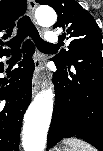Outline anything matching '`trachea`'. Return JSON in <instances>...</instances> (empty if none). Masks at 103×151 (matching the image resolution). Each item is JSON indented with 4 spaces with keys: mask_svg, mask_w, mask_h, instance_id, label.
Masks as SVG:
<instances>
[{
    "mask_svg": "<svg viewBox=\"0 0 103 151\" xmlns=\"http://www.w3.org/2000/svg\"><path fill=\"white\" fill-rule=\"evenodd\" d=\"M18 28L19 30L17 36L13 38L10 42L6 43V45L12 48L13 55L20 54V44L27 35L32 37L37 48L42 52L55 47V45L47 43L40 37L37 29L33 26L28 16H23L21 19H19Z\"/></svg>",
    "mask_w": 103,
    "mask_h": 151,
    "instance_id": "trachea-1",
    "label": "trachea"
}]
</instances>
